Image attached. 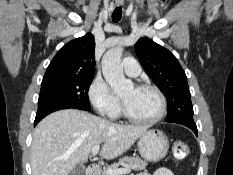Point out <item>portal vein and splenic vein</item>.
Instances as JSON below:
<instances>
[{"instance_id": "obj_1", "label": "portal vein and splenic vein", "mask_w": 233, "mask_h": 175, "mask_svg": "<svg viewBox=\"0 0 233 175\" xmlns=\"http://www.w3.org/2000/svg\"><path fill=\"white\" fill-rule=\"evenodd\" d=\"M100 150V146L99 145H95L93 148H92V155L95 156L98 154ZM107 172V175H124V174H128L130 173V169L129 168H120V169H107L106 170Z\"/></svg>"}]
</instances>
